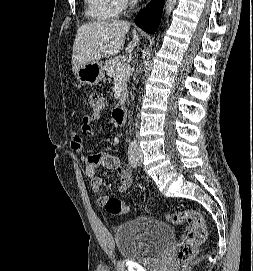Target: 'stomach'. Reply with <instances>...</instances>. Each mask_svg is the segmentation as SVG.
I'll use <instances>...</instances> for the list:
<instances>
[{"label":"stomach","instance_id":"obj_1","mask_svg":"<svg viewBox=\"0 0 253 271\" xmlns=\"http://www.w3.org/2000/svg\"><path fill=\"white\" fill-rule=\"evenodd\" d=\"M104 77V66L99 61L85 64L76 73L77 80L83 85H96Z\"/></svg>","mask_w":253,"mask_h":271}]
</instances>
